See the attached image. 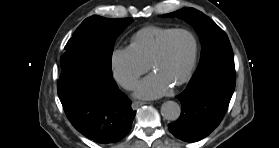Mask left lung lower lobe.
I'll list each match as a JSON object with an SVG mask.
<instances>
[{"label": "left lung lower lobe", "mask_w": 279, "mask_h": 148, "mask_svg": "<svg viewBox=\"0 0 279 148\" xmlns=\"http://www.w3.org/2000/svg\"><path fill=\"white\" fill-rule=\"evenodd\" d=\"M234 60L214 62L195 73L177 96L181 115L168 125L170 132L185 142L208 136L223 119L235 89Z\"/></svg>", "instance_id": "left-lung-lower-lobe-1"}]
</instances>
